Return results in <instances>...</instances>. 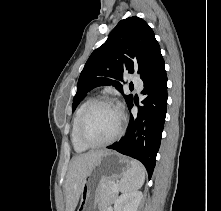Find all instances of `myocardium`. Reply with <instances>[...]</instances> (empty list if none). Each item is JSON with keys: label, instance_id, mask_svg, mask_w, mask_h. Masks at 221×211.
<instances>
[{"label": "myocardium", "instance_id": "myocardium-1", "mask_svg": "<svg viewBox=\"0 0 221 211\" xmlns=\"http://www.w3.org/2000/svg\"><path fill=\"white\" fill-rule=\"evenodd\" d=\"M101 105H108V106H112L116 108L120 115V124L116 133L113 136L103 141L94 142V141L89 140L86 137L85 126H86V122L90 113L96 107L101 106ZM125 124H126V118H125L123 111L112 100L108 98H99V99L94 100L83 112L81 120H80V124H79V137H80V140L89 147H99V146L108 145V144L115 142L117 139L120 138V136L123 134Z\"/></svg>", "mask_w": 221, "mask_h": 211}]
</instances>
